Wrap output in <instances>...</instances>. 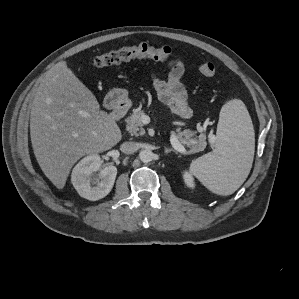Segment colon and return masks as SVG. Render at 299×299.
<instances>
[{
    "instance_id": "5ec220e1",
    "label": "colon",
    "mask_w": 299,
    "mask_h": 299,
    "mask_svg": "<svg viewBox=\"0 0 299 299\" xmlns=\"http://www.w3.org/2000/svg\"><path fill=\"white\" fill-rule=\"evenodd\" d=\"M171 53L172 50L168 46H154L148 42H141L98 55L92 60V66L94 68H103L136 58L165 61L171 56ZM199 71L206 77H212L216 73V66L212 62H204L200 64Z\"/></svg>"
}]
</instances>
